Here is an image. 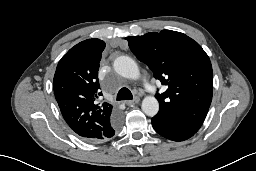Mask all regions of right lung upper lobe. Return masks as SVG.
I'll list each match as a JSON object with an SVG mask.
<instances>
[{"label": "right lung upper lobe", "mask_w": 256, "mask_h": 171, "mask_svg": "<svg viewBox=\"0 0 256 171\" xmlns=\"http://www.w3.org/2000/svg\"><path fill=\"white\" fill-rule=\"evenodd\" d=\"M105 48L96 38L72 47L59 61L53 86L56 101L69 127L87 141L112 137L111 121L118 115L107 102L99 103V62Z\"/></svg>", "instance_id": "cb5924a9"}]
</instances>
